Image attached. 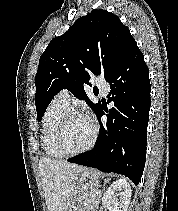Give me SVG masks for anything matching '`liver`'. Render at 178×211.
Segmentation results:
<instances>
[{"mask_svg":"<svg viewBox=\"0 0 178 211\" xmlns=\"http://www.w3.org/2000/svg\"><path fill=\"white\" fill-rule=\"evenodd\" d=\"M85 167L51 158H40L39 171L48 211H67L77 176Z\"/></svg>","mask_w":178,"mask_h":211,"instance_id":"6515ba94","label":"liver"}]
</instances>
